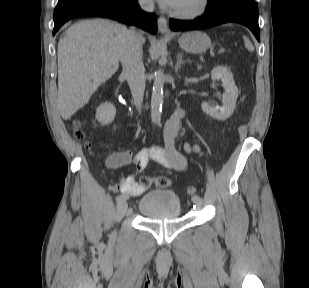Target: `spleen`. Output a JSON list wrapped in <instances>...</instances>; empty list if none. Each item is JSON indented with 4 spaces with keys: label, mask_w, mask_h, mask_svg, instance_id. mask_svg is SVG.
I'll return each mask as SVG.
<instances>
[{
    "label": "spleen",
    "mask_w": 309,
    "mask_h": 288,
    "mask_svg": "<svg viewBox=\"0 0 309 288\" xmlns=\"http://www.w3.org/2000/svg\"><path fill=\"white\" fill-rule=\"evenodd\" d=\"M244 41H245V46L246 48L249 50V51H253L254 50V47L253 45L250 43V41L244 37Z\"/></svg>",
    "instance_id": "spleen-1"
}]
</instances>
